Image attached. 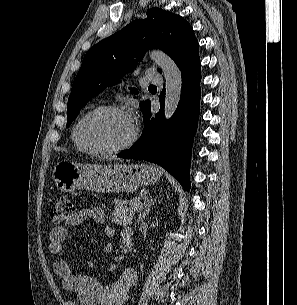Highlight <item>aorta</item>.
Listing matches in <instances>:
<instances>
[{
    "instance_id": "1",
    "label": "aorta",
    "mask_w": 297,
    "mask_h": 305,
    "mask_svg": "<svg viewBox=\"0 0 297 305\" xmlns=\"http://www.w3.org/2000/svg\"><path fill=\"white\" fill-rule=\"evenodd\" d=\"M150 59L157 64L165 78V118L172 117L178 106L182 90V73L176 63L164 52H149Z\"/></svg>"
}]
</instances>
